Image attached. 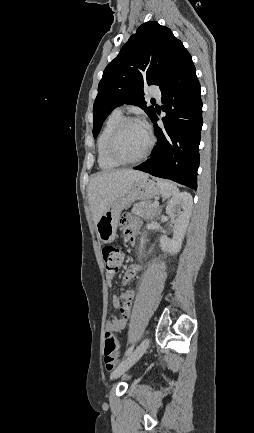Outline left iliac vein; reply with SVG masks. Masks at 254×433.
I'll return each instance as SVG.
<instances>
[{"mask_svg": "<svg viewBox=\"0 0 254 433\" xmlns=\"http://www.w3.org/2000/svg\"><path fill=\"white\" fill-rule=\"evenodd\" d=\"M149 346V339H144L129 356L123 360L120 365L113 372V378H118L124 374L128 369H130L146 352Z\"/></svg>", "mask_w": 254, "mask_h": 433, "instance_id": "obj_1", "label": "left iliac vein"}]
</instances>
